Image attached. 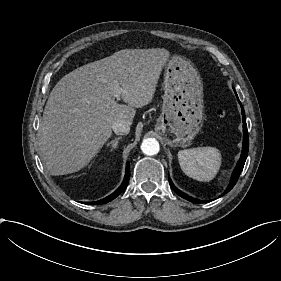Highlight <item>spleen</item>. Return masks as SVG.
<instances>
[{"mask_svg": "<svg viewBox=\"0 0 281 281\" xmlns=\"http://www.w3.org/2000/svg\"><path fill=\"white\" fill-rule=\"evenodd\" d=\"M182 171L199 181L212 180L221 166V154L215 147H197L178 152Z\"/></svg>", "mask_w": 281, "mask_h": 281, "instance_id": "obj_1", "label": "spleen"}]
</instances>
